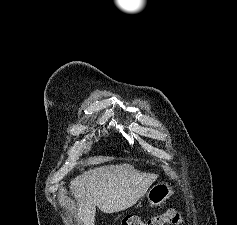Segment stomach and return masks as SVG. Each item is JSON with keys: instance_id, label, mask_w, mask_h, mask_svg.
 <instances>
[{"instance_id": "1", "label": "stomach", "mask_w": 237, "mask_h": 225, "mask_svg": "<svg viewBox=\"0 0 237 225\" xmlns=\"http://www.w3.org/2000/svg\"><path fill=\"white\" fill-rule=\"evenodd\" d=\"M173 194L174 189L168 182H159L150 188L147 200L151 207H159Z\"/></svg>"}]
</instances>
